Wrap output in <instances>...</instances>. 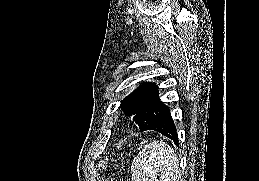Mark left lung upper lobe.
Here are the masks:
<instances>
[{
    "label": "left lung upper lobe",
    "mask_w": 259,
    "mask_h": 181,
    "mask_svg": "<svg viewBox=\"0 0 259 181\" xmlns=\"http://www.w3.org/2000/svg\"><path fill=\"white\" fill-rule=\"evenodd\" d=\"M158 97L156 84L145 82L121 101V108L144 131L164 106Z\"/></svg>",
    "instance_id": "left-lung-upper-lobe-1"
}]
</instances>
